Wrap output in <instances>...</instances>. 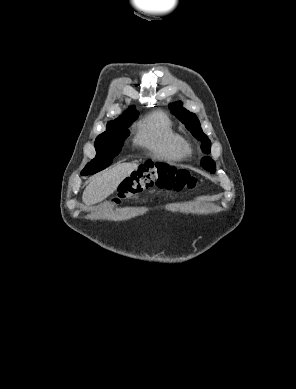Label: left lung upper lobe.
Wrapping results in <instances>:
<instances>
[{
  "mask_svg": "<svg viewBox=\"0 0 296 389\" xmlns=\"http://www.w3.org/2000/svg\"><path fill=\"white\" fill-rule=\"evenodd\" d=\"M169 109L171 110L172 114H174L183 124H185L186 128L191 131L192 135L202 142L201 148L203 152L209 154L211 142L203 133L200 127V122L196 115L183 108L181 102L169 104ZM201 166L205 170L211 173H215V163L210 157H204L201 162Z\"/></svg>",
  "mask_w": 296,
  "mask_h": 389,
  "instance_id": "1",
  "label": "left lung upper lobe"
}]
</instances>
